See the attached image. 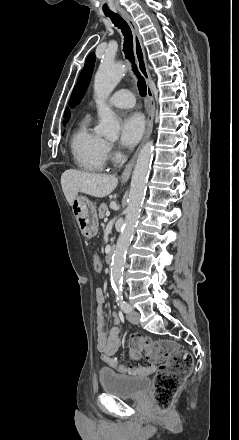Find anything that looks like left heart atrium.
<instances>
[{
    "label": "left heart atrium",
    "mask_w": 239,
    "mask_h": 440,
    "mask_svg": "<svg viewBox=\"0 0 239 440\" xmlns=\"http://www.w3.org/2000/svg\"><path fill=\"white\" fill-rule=\"evenodd\" d=\"M144 130V119L138 112H130L121 118L120 142L123 146L135 145L142 136Z\"/></svg>",
    "instance_id": "left-heart-atrium-1"
}]
</instances>
